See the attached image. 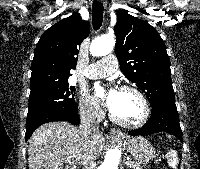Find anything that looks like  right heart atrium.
<instances>
[{
    "label": "right heart atrium",
    "instance_id": "d8ad5b80",
    "mask_svg": "<svg viewBox=\"0 0 200 169\" xmlns=\"http://www.w3.org/2000/svg\"><path fill=\"white\" fill-rule=\"evenodd\" d=\"M80 116L88 121L98 122L104 118V112L98 103L89 95L81 94L78 100Z\"/></svg>",
    "mask_w": 200,
    "mask_h": 169
}]
</instances>
